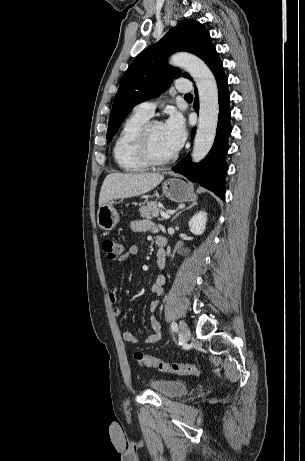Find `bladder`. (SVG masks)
Here are the masks:
<instances>
[{"label":"bladder","mask_w":305,"mask_h":461,"mask_svg":"<svg viewBox=\"0 0 305 461\" xmlns=\"http://www.w3.org/2000/svg\"><path fill=\"white\" fill-rule=\"evenodd\" d=\"M150 386L156 393L165 397H178L188 389L187 382L179 379L157 378L150 381Z\"/></svg>","instance_id":"bladder-1"}]
</instances>
